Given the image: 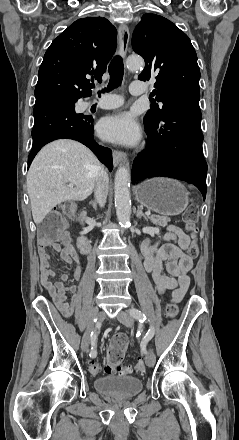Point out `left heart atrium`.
<instances>
[{
	"mask_svg": "<svg viewBox=\"0 0 239 440\" xmlns=\"http://www.w3.org/2000/svg\"><path fill=\"white\" fill-rule=\"evenodd\" d=\"M102 136L121 144H134L140 138L137 120L130 112H120L106 117L100 125Z\"/></svg>",
	"mask_w": 239,
	"mask_h": 440,
	"instance_id": "39dd6f15",
	"label": "left heart atrium"
}]
</instances>
